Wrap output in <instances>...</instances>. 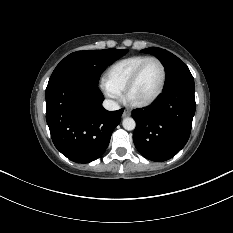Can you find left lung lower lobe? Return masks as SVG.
<instances>
[{
	"mask_svg": "<svg viewBox=\"0 0 233 233\" xmlns=\"http://www.w3.org/2000/svg\"><path fill=\"white\" fill-rule=\"evenodd\" d=\"M196 103L193 85L164 90L151 106L133 111V141L146 159L162 162L174 157L187 143Z\"/></svg>",
	"mask_w": 233,
	"mask_h": 233,
	"instance_id": "1",
	"label": "left lung lower lobe"
}]
</instances>
